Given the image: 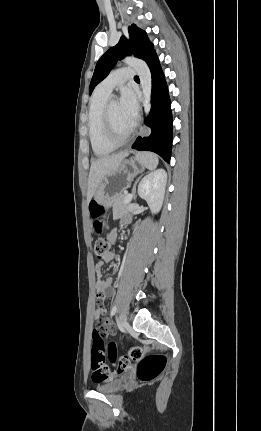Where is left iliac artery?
<instances>
[{
  "label": "left iliac artery",
  "mask_w": 261,
  "mask_h": 431,
  "mask_svg": "<svg viewBox=\"0 0 261 431\" xmlns=\"http://www.w3.org/2000/svg\"><path fill=\"white\" fill-rule=\"evenodd\" d=\"M116 312H117V306L114 305L112 310H111V316L115 315Z\"/></svg>",
  "instance_id": "1"
}]
</instances>
